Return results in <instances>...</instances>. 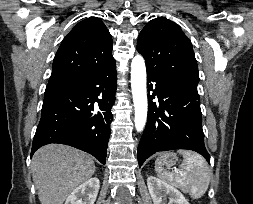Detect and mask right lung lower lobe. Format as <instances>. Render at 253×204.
I'll return each instance as SVG.
<instances>
[{
    "label": "right lung lower lobe",
    "mask_w": 253,
    "mask_h": 204,
    "mask_svg": "<svg viewBox=\"0 0 253 204\" xmlns=\"http://www.w3.org/2000/svg\"><path fill=\"white\" fill-rule=\"evenodd\" d=\"M116 75L113 64L46 90L31 156L43 145L60 143L88 152L105 164Z\"/></svg>",
    "instance_id": "1"
}]
</instances>
